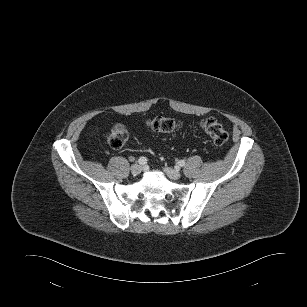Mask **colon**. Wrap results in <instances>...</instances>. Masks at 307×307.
I'll return each mask as SVG.
<instances>
[{"instance_id": "obj_1", "label": "colon", "mask_w": 307, "mask_h": 307, "mask_svg": "<svg viewBox=\"0 0 307 307\" xmlns=\"http://www.w3.org/2000/svg\"><path fill=\"white\" fill-rule=\"evenodd\" d=\"M146 125L155 132L170 133L180 129L179 121L168 117H154L146 121ZM200 128L214 142L221 146L228 140L226 129L214 118H204ZM129 139V130L123 124H115L108 134V144L113 149L122 148Z\"/></svg>"}]
</instances>
